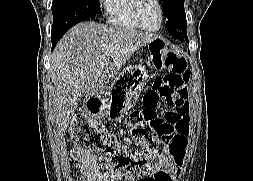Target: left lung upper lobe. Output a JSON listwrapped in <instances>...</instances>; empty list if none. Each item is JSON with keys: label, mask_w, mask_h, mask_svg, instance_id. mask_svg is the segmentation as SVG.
Masks as SVG:
<instances>
[{"label": "left lung upper lobe", "mask_w": 253, "mask_h": 181, "mask_svg": "<svg viewBox=\"0 0 253 181\" xmlns=\"http://www.w3.org/2000/svg\"><path fill=\"white\" fill-rule=\"evenodd\" d=\"M168 32L177 39L188 40L184 0H160Z\"/></svg>", "instance_id": "5c2ea615"}]
</instances>
